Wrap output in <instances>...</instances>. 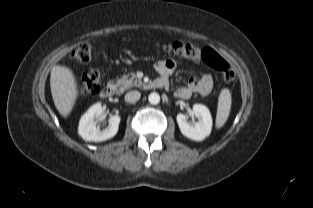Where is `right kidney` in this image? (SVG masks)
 <instances>
[{
  "instance_id": "right-kidney-1",
  "label": "right kidney",
  "mask_w": 313,
  "mask_h": 208,
  "mask_svg": "<svg viewBox=\"0 0 313 208\" xmlns=\"http://www.w3.org/2000/svg\"><path fill=\"white\" fill-rule=\"evenodd\" d=\"M103 113L101 103L91 106L79 121L78 134L85 141L101 142L114 137L117 134L120 117L114 115L109 119V125L106 129L100 130L96 126V120Z\"/></svg>"
}]
</instances>
